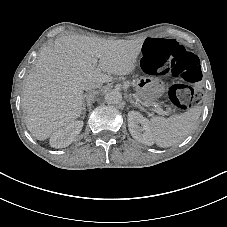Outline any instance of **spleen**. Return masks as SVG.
<instances>
[{
    "mask_svg": "<svg viewBox=\"0 0 227 227\" xmlns=\"http://www.w3.org/2000/svg\"><path fill=\"white\" fill-rule=\"evenodd\" d=\"M201 111L192 108L181 115L171 116L167 119L154 116L148 124L152 140L159 147H171L181 143L195 126Z\"/></svg>",
    "mask_w": 227,
    "mask_h": 227,
    "instance_id": "obj_1",
    "label": "spleen"
}]
</instances>
